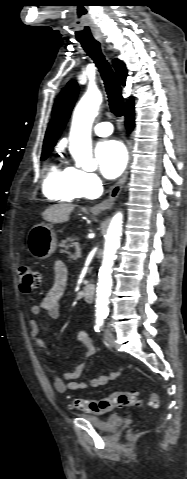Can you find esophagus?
I'll return each mask as SVG.
<instances>
[{
	"label": "esophagus",
	"instance_id": "obj_1",
	"mask_svg": "<svg viewBox=\"0 0 187 479\" xmlns=\"http://www.w3.org/2000/svg\"><path fill=\"white\" fill-rule=\"evenodd\" d=\"M127 146H128V155H129V160H128V165L122 175V177L119 179V181L114 184L112 187H111V190H110V193L108 195V197L100 202L99 204H96L94 205L92 208H91V212L94 213V214H98L104 210H107L109 208H111L114 204V202L116 201V199L118 198L126 180H127V177H128V170H129V164L131 162V149H132V146H131V142L128 141L127 142Z\"/></svg>",
	"mask_w": 187,
	"mask_h": 479
}]
</instances>
